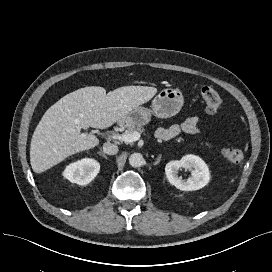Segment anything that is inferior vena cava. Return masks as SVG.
Instances as JSON below:
<instances>
[{
  "mask_svg": "<svg viewBox=\"0 0 272 272\" xmlns=\"http://www.w3.org/2000/svg\"><path fill=\"white\" fill-rule=\"evenodd\" d=\"M103 152L108 155H115L118 153V146L109 142L104 143Z\"/></svg>",
  "mask_w": 272,
  "mask_h": 272,
  "instance_id": "obj_1",
  "label": "inferior vena cava"
}]
</instances>
